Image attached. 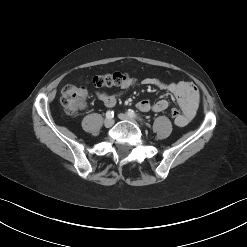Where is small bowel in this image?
Listing matches in <instances>:
<instances>
[{
  "mask_svg": "<svg viewBox=\"0 0 247 247\" xmlns=\"http://www.w3.org/2000/svg\"><path fill=\"white\" fill-rule=\"evenodd\" d=\"M134 83V80L128 79L122 87L127 89L133 86ZM142 84L157 87L172 94L176 98L181 109V116L175 121L177 126L184 127L194 118L199 105L200 95L198 88L193 83L187 81L165 83L157 78L148 77L142 80ZM97 97L107 107H113L117 102L116 94L97 92ZM168 106L169 103L165 99H159L153 103L147 99H143L137 103V108L143 112H162Z\"/></svg>",
  "mask_w": 247,
  "mask_h": 247,
  "instance_id": "small-bowel-1",
  "label": "small bowel"
}]
</instances>
